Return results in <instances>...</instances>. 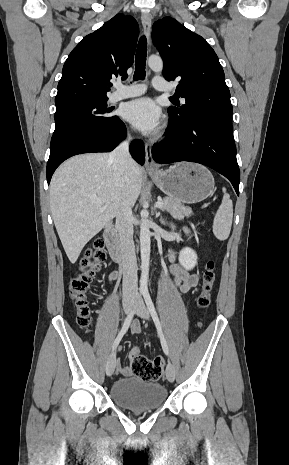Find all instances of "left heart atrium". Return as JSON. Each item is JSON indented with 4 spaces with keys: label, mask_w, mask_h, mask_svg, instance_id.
Here are the masks:
<instances>
[{
    "label": "left heart atrium",
    "mask_w": 289,
    "mask_h": 465,
    "mask_svg": "<svg viewBox=\"0 0 289 465\" xmlns=\"http://www.w3.org/2000/svg\"><path fill=\"white\" fill-rule=\"evenodd\" d=\"M123 116L144 133L155 132L160 125V110L150 98H140L129 102Z\"/></svg>",
    "instance_id": "left-heart-atrium-1"
}]
</instances>
